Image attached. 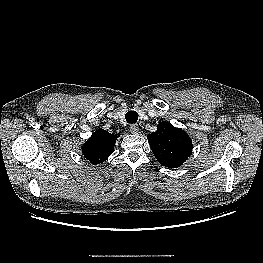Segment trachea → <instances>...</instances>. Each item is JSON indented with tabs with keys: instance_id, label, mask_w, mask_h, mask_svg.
<instances>
[{
	"instance_id": "trachea-1",
	"label": "trachea",
	"mask_w": 263,
	"mask_h": 263,
	"mask_svg": "<svg viewBox=\"0 0 263 263\" xmlns=\"http://www.w3.org/2000/svg\"><path fill=\"white\" fill-rule=\"evenodd\" d=\"M125 119L129 124H135L138 120V113L136 111H128L125 114Z\"/></svg>"
}]
</instances>
